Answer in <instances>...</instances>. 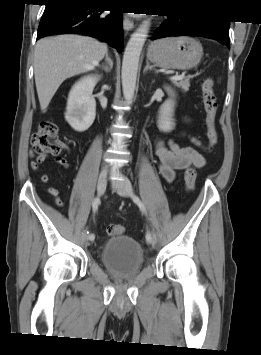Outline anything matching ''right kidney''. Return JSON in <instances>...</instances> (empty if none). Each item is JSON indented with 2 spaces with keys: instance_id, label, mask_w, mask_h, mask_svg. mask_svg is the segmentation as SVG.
Instances as JSON below:
<instances>
[{
  "instance_id": "right-kidney-1",
  "label": "right kidney",
  "mask_w": 261,
  "mask_h": 355,
  "mask_svg": "<svg viewBox=\"0 0 261 355\" xmlns=\"http://www.w3.org/2000/svg\"><path fill=\"white\" fill-rule=\"evenodd\" d=\"M99 80L97 75H88L72 87L67 101L65 119L77 132L86 131L96 116V101L92 95Z\"/></svg>"
}]
</instances>
